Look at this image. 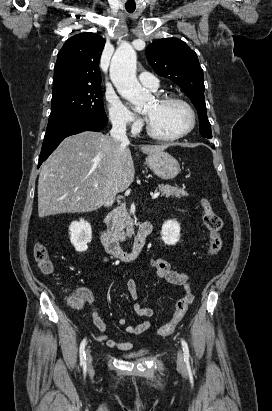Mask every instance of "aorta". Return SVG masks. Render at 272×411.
I'll return each instance as SVG.
<instances>
[{
  "mask_svg": "<svg viewBox=\"0 0 272 411\" xmlns=\"http://www.w3.org/2000/svg\"><path fill=\"white\" fill-rule=\"evenodd\" d=\"M136 60V52L131 45L120 46L111 60L110 77L118 93L139 109L145 104L148 94L136 78Z\"/></svg>",
  "mask_w": 272,
  "mask_h": 411,
  "instance_id": "obj_1",
  "label": "aorta"
}]
</instances>
